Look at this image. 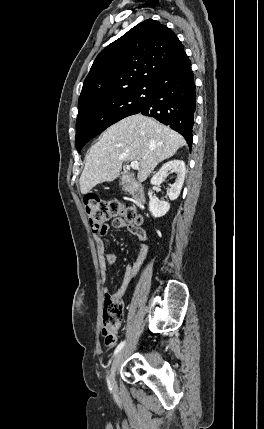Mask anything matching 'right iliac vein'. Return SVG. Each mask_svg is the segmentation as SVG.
I'll return each mask as SVG.
<instances>
[{"label":"right iliac vein","mask_w":264,"mask_h":429,"mask_svg":"<svg viewBox=\"0 0 264 429\" xmlns=\"http://www.w3.org/2000/svg\"><path fill=\"white\" fill-rule=\"evenodd\" d=\"M124 350L120 351L113 360L111 369H110V383L111 385L115 384L116 371L119 367L121 359L123 357Z\"/></svg>","instance_id":"right-iliac-vein-1"}]
</instances>
